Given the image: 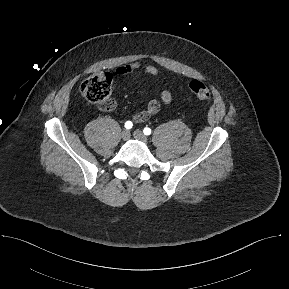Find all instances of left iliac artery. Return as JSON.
Returning <instances> with one entry per match:
<instances>
[{
    "label": "left iliac artery",
    "instance_id": "obj_1",
    "mask_svg": "<svg viewBox=\"0 0 289 289\" xmlns=\"http://www.w3.org/2000/svg\"><path fill=\"white\" fill-rule=\"evenodd\" d=\"M143 132H144L145 135H150L151 134V129L148 128V127H145Z\"/></svg>",
    "mask_w": 289,
    "mask_h": 289
}]
</instances>
